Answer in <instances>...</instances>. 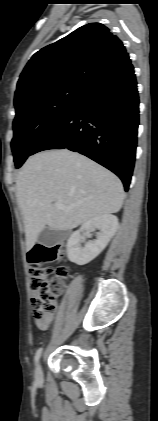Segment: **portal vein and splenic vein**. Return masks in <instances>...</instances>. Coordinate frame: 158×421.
<instances>
[{"label": "portal vein and splenic vein", "mask_w": 158, "mask_h": 421, "mask_svg": "<svg viewBox=\"0 0 158 421\" xmlns=\"http://www.w3.org/2000/svg\"><path fill=\"white\" fill-rule=\"evenodd\" d=\"M53 205L55 208H58V209H66V207L63 206V204L59 201L55 202Z\"/></svg>", "instance_id": "18ae733b"}]
</instances>
